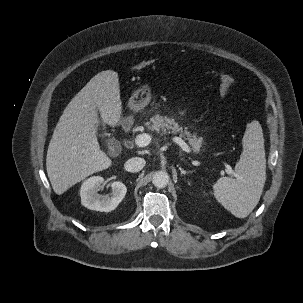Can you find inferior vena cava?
I'll use <instances>...</instances> for the list:
<instances>
[{
	"mask_svg": "<svg viewBox=\"0 0 303 303\" xmlns=\"http://www.w3.org/2000/svg\"><path fill=\"white\" fill-rule=\"evenodd\" d=\"M146 161L143 158L140 157H133L126 161L125 163V169L128 172H139L143 169L145 166Z\"/></svg>",
	"mask_w": 303,
	"mask_h": 303,
	"instance_id": "obj_1",
	"label": "inferior vena cava"
}]
</instances>
